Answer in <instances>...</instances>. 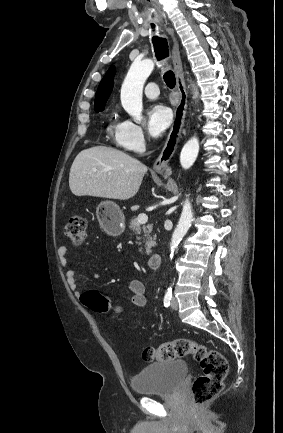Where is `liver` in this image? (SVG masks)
<instances>
[{"label": "liver", "instance_id": "1", "mask_svg": "<svg viewBox=\"0 0 283 433\" xmlns=\"http://www.w3.org/2000/svg\"><path fill=\"white\" fill-rule=\"evenodd\" d=\"M146 172L145 164L122 150L111 146H91L74 158L69 186L76 196L89 194L127 200L138 192Z\"/></svg>", "mask_w": 283, "mask_h": 433}]
</instances>
